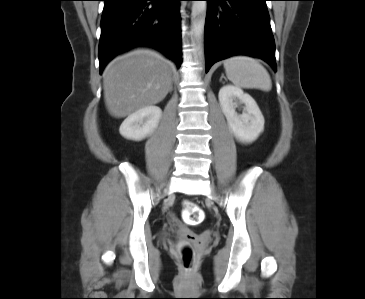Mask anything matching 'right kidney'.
<instances>
[{
    "label": "right kidney",
    "mask_w": 365,
    "mask_h": 299,
    "mask_svg": "<svg viewBox=\"0 0 365 299\" xmlns=\"http://www.w3.org/2000/svg\"><path fill=\"white\" fill-rule=\"evenodd\" d=\"M162 111L157 106H147L129 115L121 124L119 132L127 139L139 141L157 128Z\"/></svg>",
    "instance_id": "1"
}]
</instances>
